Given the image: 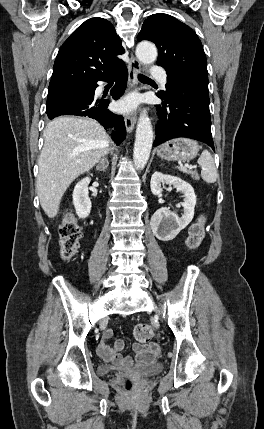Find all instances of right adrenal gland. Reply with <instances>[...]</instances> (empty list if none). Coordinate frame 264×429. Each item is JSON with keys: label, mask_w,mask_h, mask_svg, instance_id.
<instances>
[{"label": "right adrenal gland", "mask_w": 264, "mask_h": 429, "mask_svg": "<svg viewBox=\"0 0 264 429\" xmlns=\"http://www.w3.org/2000/svg\"><path fill=\"white\" fill-rule=\"evenodd\" d=\"M109 162L107 158L103 157L97 164L96 170L105 172L108 169Z\"/></svg>", "instance_id": "obj_1"}]
</instances>
